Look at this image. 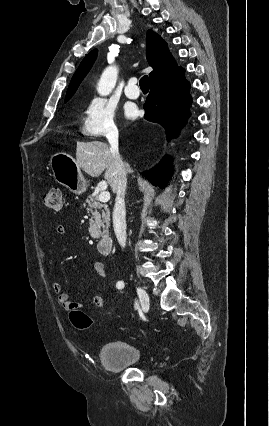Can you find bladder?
Masks as SVG:
<instances>
[{"instance_id": "obj_1", "label": "bladder", "mask_w": 269, "mask_h": 426, "mask_svg": "<svg viewBox=\"0 0 269 426\" xmlns=\"http://www.w3.org/2000/svg\"><path fill=\"white\" fill-rule=\"evenodd\" d=\"M98 358L106 368L117 371L141 363L143 353L138 346L132 343L110 341L100 347Z\"/></svg>"}]
</instances>
